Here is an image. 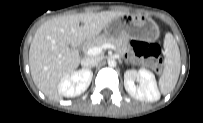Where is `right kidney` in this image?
I'll return each mask as SVG.
<instances>
[{
  "mask_svg": "<svg viewBox=\"0 0 203 123\" xmlns=\"http://www.w3.org/2000/svg\"><path fill=\"white\" fill-rule=\"evenodd\" d=\"M93 73L90 70H79L64 78L59 84V92L65 97H75L84 93L89 87Z\"/></svg>",
  "mask_w": 203,
  "mask_h": 123,
  "instance_id": "right-kidney-1",
  "label": "right kidney"
}]
</instances>
